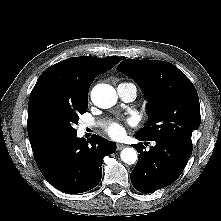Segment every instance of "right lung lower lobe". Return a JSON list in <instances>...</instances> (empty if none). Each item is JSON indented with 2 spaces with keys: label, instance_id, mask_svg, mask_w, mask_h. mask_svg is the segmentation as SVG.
Listing matches in <instances>:
<instances>
[{
  "label": "right lung lower lobe",
  "instance_id": "98d812e1",
  "mask_svg": "<svg viewBox=\"0 0 221 221\" xmlns=\"http://www.w3.org/2000/svg\"><path fill=\"white\" fill-rule=\"evenodd\" d=\"M116 151V144L93 135L89 140L76 135L49 141L34 152L43 176L55 188L66 193H82L97 186L102 162Z\"/></svg>",
  "mask_w": 221,
  "mask_h": 221
}]
</instances>
